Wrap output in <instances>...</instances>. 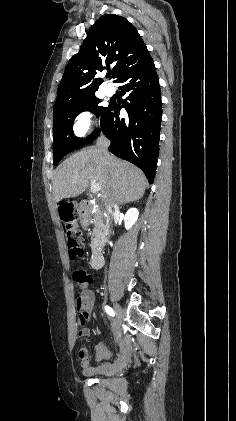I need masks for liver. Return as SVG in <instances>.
<instances>
[{"label":"liver","mask_w":236,"mask_h":421,"mask_svg":"<svg viewBox=\"0 0 236 421\" xmlns=\"http://www.w3.org/2000/svg\"><path fill=\"white\" fill-rule=\"evenodd\" d=\"M89 180H96L101 186L100 198L120 204L137 200L145 192L148 180L137 166L109 156L105 160L101 150L88 146L63 160L53 172L55 200L70 198L84 192Z\"/></svg>","instance_id":"6515ba94"}]
</instances>
